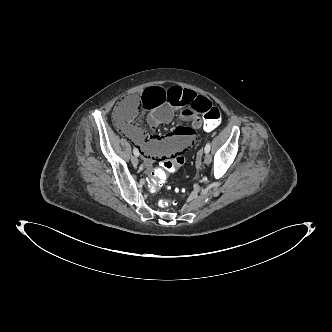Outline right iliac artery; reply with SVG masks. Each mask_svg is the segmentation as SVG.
Segmentation results:
<instances>
[{"mask_svg":"<svg viewBox=\"0 0 332 332\" xmlns=\"http://www.w3.org/2000/svg\"><path fill=\"white\" fill-rule=\"evenodd\" d=\"M133 153L135 156H139V150L137 148L133 149Z\"/></svg>","mask_w":332,"mask_h":332,"instance_id":"obj_1","label":"right iliac artery"}]
</instances>
